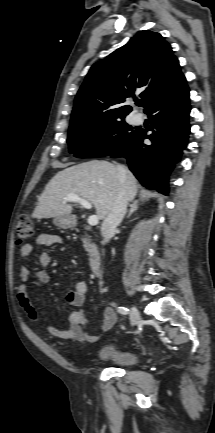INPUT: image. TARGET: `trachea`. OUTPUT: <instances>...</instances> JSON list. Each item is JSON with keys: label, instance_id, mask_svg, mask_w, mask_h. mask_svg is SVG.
I'll return each instance as SVG.
<instances>
[{"label": "trachea", "instance_id": "obj_1", "mask_svg": "<svg viewBox=\"0 0 215 433\" xmlns=\"http://www.w3.org/2000/svg\"><path fill=\"white\" fill-rule=\"evenodd\" d=\"M136 105L141 106V101H136Z\"/></svg>", "mask_w": 215, "mask_h": 433}]
</instances>
